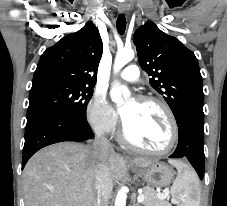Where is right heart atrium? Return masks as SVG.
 Masks as SVG:
<instances>
[{"label": "right heart atrium", "instance_id": "d8ad5b80", "mask_svg": "<svg viewBox=\"0 0 227 206\" xmlns=\"http://www.w3.org/2000/svg\"><path fill=\"white\" fill-rule=\"evenodd\" d=\"M87 120L100 135L112 134L118 126V115L102 95H95L87 106Z\"/></svg>", "mask_w": 227, "mask_h": 206}]
</instances>
